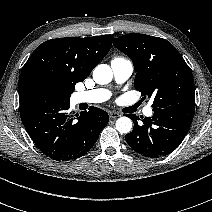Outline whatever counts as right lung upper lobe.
Here are the masks:
<instances>
[{
	"instance_id": "1",
	"label": "right lung upper lobe",
	"mask_w": 212,
	"mask_h": 212,
	"mask_svg": "<svg viewBox=\"0 0 212 212\" xmlns=\"http://www.w3.org/2000/svg\"><path fill=\"white\" fill-rule=\"evenodd\" d=\"M113 36L57 38L42 43L29 57L19 77V102H28L30 90L40 84L70 94L106 56Z\"/></svg>"
}]
</instances>
